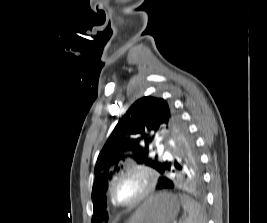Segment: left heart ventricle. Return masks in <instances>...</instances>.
Listing matches in <instances>:
<instances>
[{
	"label": "left heart ventricle",
	"mask_w": 267,
	"mask_h": 223,
	"mask_svg": "<svg viewBox=\"0 0 267 223\" xmlns=\"http://www.w3.org/2000/svg\"><path fill=\"white\" fill-rule=\"evenodd\" d=\"M146 180L138 173L122 177L115 186V195L119 201L128 202L135 199L145 188Z\"/></svg>",
	"instance_id": "left-heart-ventricle-1"
}]
</instances>
